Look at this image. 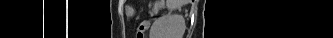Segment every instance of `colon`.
Masks as SVG:
<instances>
[{
  "label": "colon",
  "instance_id": "5ec220e1",
  "mask_svg": "<svg viewBox=\"0 0 333 38\" xmlns=\"http://www.w3.org/2000/svg\"><path fill=\"white\" fill-rule=\"evenodd\" d=\"M147 28H148L147 21H143L142 23H140V25L137 29L136 38H144Z\"/></svg>",
  "mask_w": 333,
  "mask_h": 38
}]
</instances>
